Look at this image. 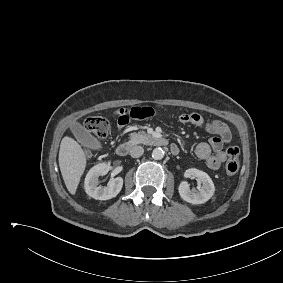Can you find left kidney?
Wrapping results in <instances>:
<instances>
[{"instance_id": "obj_1", "label": "left kidney", "mask_w": 283, "mask_h": 283, "mask_svg": "<svg viewBox=\"0 0 283 283\" xmlns=\"http://www.w3.org/2000/svg\"><path fill=\"white\" fill-rule=\"evenodd\" d=\"M184 176L187 178H196L199 181L197 190H191L186 181L180 183L178 191L184 201L191 204H202L213 196L215 187L207 173L191 168L185 171Z\"/></svg>"}]
</instances>
